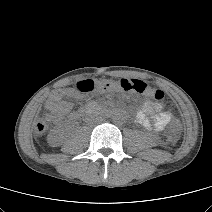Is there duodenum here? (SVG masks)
<instances>
[{
  "label": "duodenum",
  "mask_w": 212,
  "mask_h": 212,
  "mask_svg": "<svg viewBox=\"0 0 212 212\" xmlns=\"http://www.w3.org/2000/svg\"><path fill=\"white\" fill-rule=\"evenodd\" d=\"M95 109H98V110H101V107L100 106H98V105H88V106H86V107H84V108H81L78 112H77V114H76V117L77 118H80V117H82L85 113H87L88 111H90V110H95Z\"/></svg>",
  "instance_id": "obj_1"
}]
</instances>
